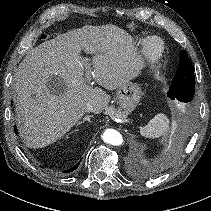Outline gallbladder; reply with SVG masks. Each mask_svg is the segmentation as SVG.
<instances>
[{
	"mask_svg": "<svg viewBox=\"0 0 211 211\" xmlns=\"http://www.w3.org/2000/svg\"><path fill=\"white\" fill-rule=\"evenodd\" d=\"M48 87L51 91L55 92V94H59L61 91L60 90H56L57 86H61L63 85V81L60 79L59 76H51L49 78V82H48Z\"/></svg>",
	"mask_w": 211,
	"mask_h": 211,
	"instance_id": "1",
	"label": "gallbladder"
}]
</instances>
